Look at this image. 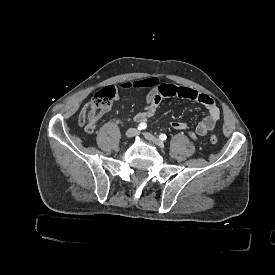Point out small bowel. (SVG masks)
Here are the masks:
<instances>
[{
	"label": "small bowel",
	"instance_id": "obj_1",
	"mask_svg": "<svg viewBox=\"0 0 275 275\" xmlns=\"http://www.w3.org/2000/svg\"><path fill=\"white\" fill-rule=\"evenodd\" d=\"M127 87L148 90L145 97L144 109L134 116L136 123L142 124L147 122L155 114L161 100L172 96L197 101L204 105L207 110V115L195 126L193 131H190V127L186 122L179 120H174L170 123L172 130L188 131L189 135L193 139H196L212 131L220 119V109L214 99L208 94L197 92L189 87L162 83L157 77H149L129 83ZM85 105H91V103L87 102Z\"/></svg>",
	"mask_w": 275,
	"mask_h": 275
}]
</instances>
